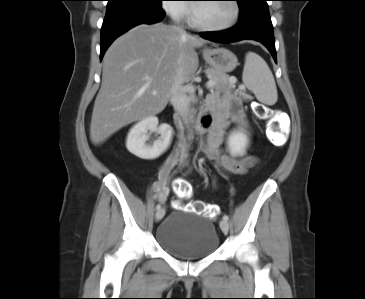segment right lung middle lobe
<instances>
[{"label": "right lung middle lobe", "mask_w": 365, "mask_h": 299, "mask_svg": "<svg viewBox=\"0 0 365 299\" xmlns=\"http://www.w3.org/2000/svg\"><path fill=\"white\" fill-rule=\"evenodd\" d=\"M107 10L118 8L126 5H154L160 6L162 0H107Z\"/></svg>", "instance_id": "1"}]
</instances>
